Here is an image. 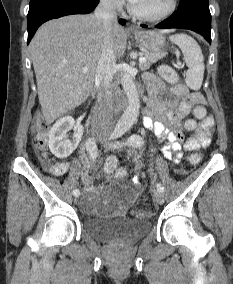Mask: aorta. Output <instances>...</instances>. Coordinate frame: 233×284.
I'll use <instances>...</instances> for the list:
<instances>
[{
    "label": "aorta",
    "mask_w": 233,
    "mask_h": 284,
    "mask_svg": "<svg viewBox=\"0 0 233 284\" xmlns=\"http://www.w3.org/2000/svg\"><path fill=\"white\" fill-rule=\"evenodd\" d=\"M121 84L123 91L126 94L128 105L118 121L117 126L121 129L128 130L137 120L140 109V100L133 78L128 73L122 74Z\"/></svg>",
    "instance_id": "762f6f07"
}]
</instances>
